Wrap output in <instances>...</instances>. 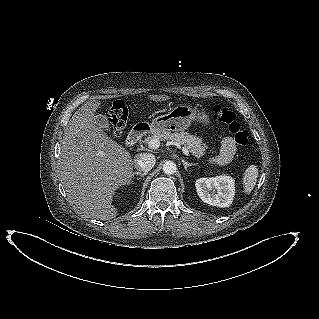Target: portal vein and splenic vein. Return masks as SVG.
I'll use <instances>...</instances> for the list:
<instances>
[{
	"instance_id": "obj_1",
	"label": "portal vein and splenic vein",
	"mask_w": 319,
	"mask_h": 319,
	"mask_svg": "<svg viewBox=\"0 0 319 319\" xmlns=\"http://www.w3.org/2000/svg\"><path fill=\"white\" fill-rule=\"evenodd\" d=\"M160 146V141L158 139H152L149 143H148V147L150 149H158ZM182 151L183 153L186 155V156H189V151L187 148L183 147L182 148Z\"/></svg>"
}]
</instances>
